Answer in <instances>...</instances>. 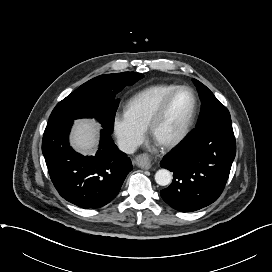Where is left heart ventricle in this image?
Masks as SVG:
<instances>
[{
    "label": "left heart ventricle",
    "mask_w": 272,
    "mask_h": 272,
    "mask_svg": "<svg viewBox=\"0 0 272 272\" xmlns=\"http://www.w3.org/2000/svg\"><path fill=\"white\" fill-rule=\"evenodd\" d=\"M193 107V99L188 91L178 92L172 99L168 110L157 126L154 140L166 142L176 137L185 125Z\"/></svg>",
    "instance_id": "obj_1"
}]
</instances>
